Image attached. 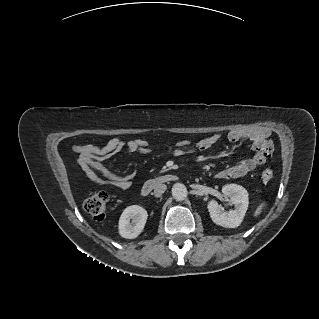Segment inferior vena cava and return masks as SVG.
<instances>
[{
  "instance_id": "1",
  "label": "inferior vena cava",
  "mask_w": 319,
  "mask_h": 319,
  "mask_svg": "<svg viewBox=\"0 0 319 319\" xmlns=\"http://www.w3.org/2000/svg\"><path fill=\"white\" fill-rule=\"evenodd\" d=\"M167 186L165 184H158L155 188H154V196L155 197H160L162 196V194L166 191Z\"/></svg>"
}]
</instances>
